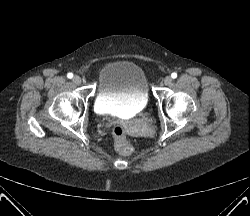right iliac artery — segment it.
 <instances>
[{
	"label": "right iliac artery",
	"instance_id": "obj_1",
	"mask_svg": "<svg viewBox=\"0 0 250 216\" xmlns=\"http://www.w3.org/2000/svg\"><path fill=\"white\" fill-rule=\"evenodd\" d=\"M67 77H68L69 79H71V78H73V74H72V73H68V74H67Z\"/></svg>",
	"mask_w": 250,
	"mask_h": 216
}]
</instances>
